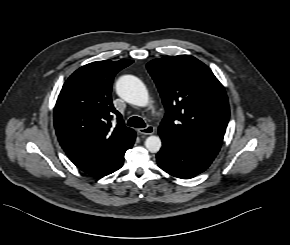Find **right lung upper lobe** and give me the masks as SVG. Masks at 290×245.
<instances>
[{
	"instance_id": "1",
	"label": "right lung upper lobe",
	"mask_w": 290,
	"mask_h": 245,
	"mask_svg": "<svg viewBox=\"0 0 290 245\" xmlns=\"http://www.w3.org/2000/svg\"><path fill=\"white\" fill-rule=\"evenodd\" d=\"M132 63L122 59L84 65L67 79L57 99L54 125L60 145L78 168L92 176L118 170L134 144V130L124 125L111 99L114 76Z\"/></svg>"
}]
</instances>
